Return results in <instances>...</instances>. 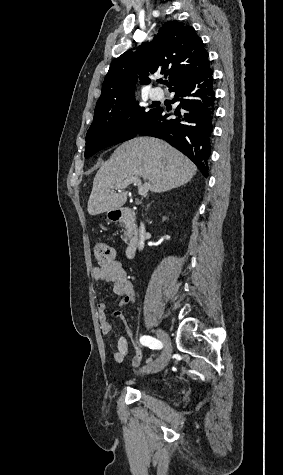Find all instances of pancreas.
<instances>
[{"mask_svg": "<svg viewBox=\"0 0 283 475\" xmlns=\"http://www.w3.org/2000/svg\"><path fill=\"white\" fill-rule=\"evenodd\" d=\"M128 239H130V234H128V232H125V238H124L125 243H128Z\"/></svg>", "mask_w": 283, "mask_h": 475, "instance_id": "pancreas-1", "label": "pancreas"}]
</instances>
